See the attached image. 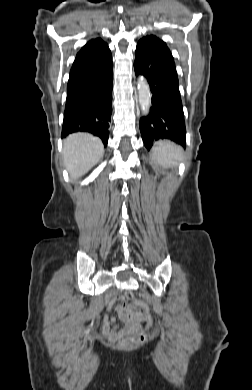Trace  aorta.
Masks as SVG:
<instances>
[{"mask_svg": "<svg viewBox=\"0 0 252 390\" xmlns=\"http://www.w3.org/2000/svg\"><path fill=\"white\" fill-rule=\"evenodd\" d=\"M138 100L143 115H147L151 106V91L147 80L141 76L137 80Z\"/></svg>", "mask_w": 252, "mask_h": 390, "instance_id": "1", "label": "aorta"}]
</instances>
